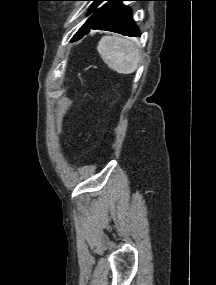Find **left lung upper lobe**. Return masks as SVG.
I'll return each instance as SVG.
<instances>
[{"instance_id":"left-lung-upper-lobe-1","label":"left lung upper lobe","mask_w":216,"mask_h":285,"mask_svg":"<svg viewBox=\"0 0 216 285\" xmlns=\"http://www.w3.org/2000/svg\"><path fill=\"white\" fill-rule=\"evenodd\" d=\"M94 1L92 7L90 8L89 12H93L96 7L103 1H107L106 4H104L101 8L97 9L85 22V24L81 27L79 31H83L89 26L92 25V23L101 15L103 14L107 9H109L112 5H114L118 0H91Z\"/></svg>"}]
</instances>
